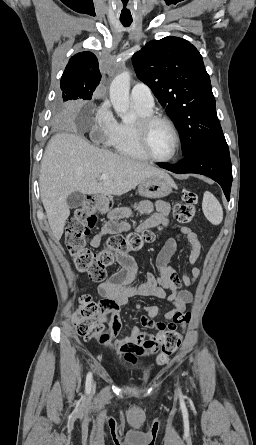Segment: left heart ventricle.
<instances>
[{"mask_svg": "<svg viewBox=\"0 0 256 445\" xmlns=\"http://www.w3.org/2000/svg\"><path fill=\"white\" fill-rule=\"evenodd\" d=\"M152 153L160 158L169 157L174 150L175 139L170 127L162 122L153 124L148 133Z\"/></svg>", "mask_w": 256, "mask_h": 445, "instance_id": "1", "label": "left heart ventricle"}]
</instances>
